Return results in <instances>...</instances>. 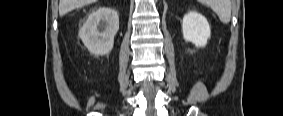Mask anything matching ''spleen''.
Segmentation results:
<instances>
[{
    "label": "spleen",
    "instance_id": "3e777b00",
    "mask_svg": "<svg viewBox=\"0 0 283 116\" xmlns=\"http://www.w3.org/2000/svg\"><path fill=\"white\" fill-rule=\"evenodd\" d=\"M203 3L210 7L219 17L223 24H228L231 20L230 0H204Z\"/></svg>",
    "mask_w": 283,
    "mask_h": 116
}]
</instances>
